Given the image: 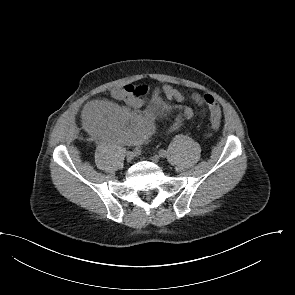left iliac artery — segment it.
I'll list each match as a JSON object with an SVG mask.
<instances>
[{"mask_svg": "<svg viewBox=\"0 0 295 295\" xmlns=\"http://www.w3.org/2000/svg\"><path fill=\"white\" fill-rule=\"evenodd\" d=\"M158 153L161 157H165L167 154L166 150H164V149H160Z\"/></svg>", "mask_w": 295, "mask_h": 295, "instance_id": "left-iliac-artery-1", "label": "left iliac artery"}]
</instances>
